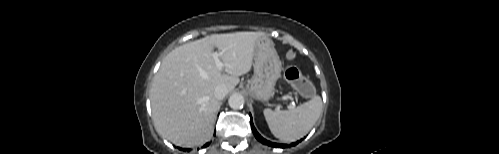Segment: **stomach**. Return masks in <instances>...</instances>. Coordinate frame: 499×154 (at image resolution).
<instances>
[{
    "mask_svg": "<svg viewBox=\"0 0 499 154\" xmlns=\"http://www.w3.org/2000/svg\"><path fill=\"white\" fill-rule=\"evenodd\" d=\"M280 76L281 62L272 40L267 36L260 37L255 48L254 75L246 86L249 94L257 101H268L274 95Z\"/></svg>",
    "mask_w": 499,
    "mask_h": 154,
    "instance_id": "stomach-1",
    "label": "stomach"
}]
</instances>
